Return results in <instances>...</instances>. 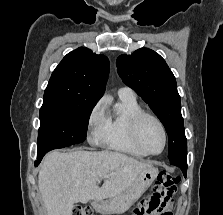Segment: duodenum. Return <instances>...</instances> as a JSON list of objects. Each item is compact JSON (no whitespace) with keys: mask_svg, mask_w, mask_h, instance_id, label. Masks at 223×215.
Wrapping results in <instances>:
<instances>
[{"mask_svg":"<svg viewBox=\"0 0 223 215\" xmlns=\"http://www.w3.org/2000/svg\"><path fill=\"white\" fill-rule=\"evenodd\" d=\"M103 199L101 198H97L93 201V208L97 211V212H101L103 210Z\"/></svg>","mask_w":223,"mask_h":215,"instance_id":"duodenum-1","label":"duodenum"}]
</instances>
